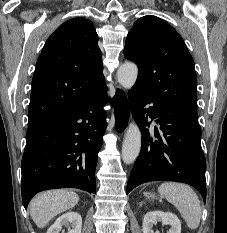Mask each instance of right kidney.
I'll list each match as a JSON object with an SVG mask.
<instances>
[{
  "label": "right kidney",
  "mask_w": 227,
  "mask_h": 233,
  "mask_svg": "<svg viewBox=\"0 0 227 233\" xmlns=\"http://www.w3.org/2000/svg\"><path fill=\"white\" fill-rule=\"evenodd\" d=\"M62 226L71 227L67 233H81V215L77 212H66L65 214L61 215L52 226H50L46 233H59Z\"/></svg>",
  "instance_id": "ca27d5eb"
}]
</instances>
